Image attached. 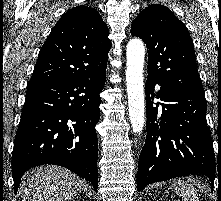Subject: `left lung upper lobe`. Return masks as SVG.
I'll list each match as a JSON object with an SVG mask.
<instances>
[{
	"label": "left lung upper lobe",
	"instance_id": "obj_1",
	"mask_svg": "<svg viewBox=\"0 0 221 201\" xmlns=\"http://www.w3.org/2000/svg\"><path fill=\"white\" fill-rule=\"evenodd\" d=\"M131 35L146 43L149 77L168 89L204 95L190 34L167 7L152 4L142 10Z\"/></svg>",
	"mask_w": 221,
	"mask_h": 201
}]
</instances>
